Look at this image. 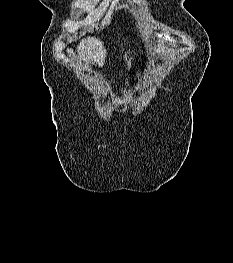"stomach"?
I'll return each mask as SVG.
<instances>
[{"label":"stomach","instance_id":"0dacf381","mask_svg":"<svg viewBox=\"0 0 233 263\" xmlns=\"http://www.w3.org/2000/svg\"><path fill=\"white\" fill-rule=\"evenodd\" d=\"M151 63H153V59L151 57V59H149V63L146 64L147 66V69H139L137 72H136V78L138 79V81H142L144 80L146 77H148L149 73H150V69H149V65H151ZM136 78L135 77H114L113 78V81L114 82H135L136 81ZM130 87H134L135 85L134 84H130L129 85Z\"/></svg>","mask_w":233,"mask_h":263}]
</instances>
